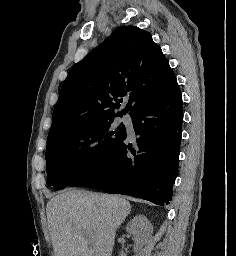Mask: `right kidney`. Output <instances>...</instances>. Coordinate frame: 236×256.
<instances>
[{
  "mask_svg": "<svg viewBox=\"0 0 236 256\" xmlns=\"http://www.w3.org/2000/svg\"><path fill=\"white\" fill-rule=\"evenodd\" d=\"M127 232L132 234L135 242L134 252L145 254L148 246L152 242L153 226L148 222L146 216H135L126 226Z\"/></svg>",
  "mask_w": 236,
  "mask_h": 256,
  "instance_id": "1",
  "label": "right kidney"
}]
</instances>
